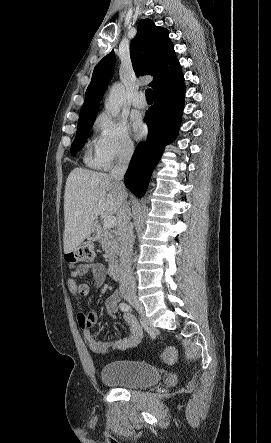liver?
<instances>
[{"instance_id":"6515ba94","label":"liver","mask_w":271,"mask_h":443,"mask_svg":"<svg viewBox=\"0 0 271 443\" xmlns=\"http://www.w3.org/2000/svg\"><path fill=\"white\" fill-rule=\"evenodd\" d=\"M122 194L109 174L75 168L64 194V253L76 249L91 233L100 214H115L121 220Z\"/></svg>"}]
</instances>
